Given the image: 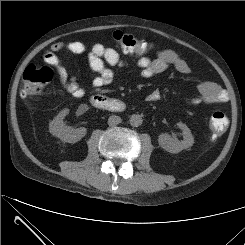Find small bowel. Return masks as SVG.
I'll list each match as a JSON object with an SVG mask.
<instances>
[{"label": "small bowel", "mask_w": 245, "mask_h": 245, "mask_svg": "<svg viewBox=\"0 0 245 245\" xmlns=\"http://www.w3.org/2000/svg\"><path fill=\"white\" fill-rule=\"evenodd\" d=\"M62 51L76 55L87 54L89 66L98 73L92 81V85L95 88L107 86L112 82L114 72L109 66L120 68L133 66L137 69L138 77L142 80L150 79L169 68H174L183 75L191 73L189 64L172 50H160L154 58L142 57L131 63L121 58L115 49L101 44H95L88 49L82 42H56L44 53V62L55 69L62 88L75 98L84 97L86 90L79 85L75 78L69 76L64 62L57 55V53ZM198 91L199 94L188 101L190 106L213 105L222 103L227 99L225 91L213 82L200 83ZM148 98L151 101H155L158 99V94L153 92Z\"/></svg>", "instance_id": "small-bowel-1"}]
</instances>
